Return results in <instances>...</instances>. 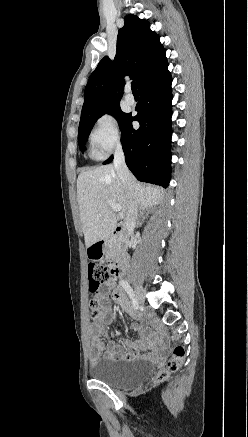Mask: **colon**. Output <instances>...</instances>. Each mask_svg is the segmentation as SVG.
<instances>
[{
  "label": "colon",
  "instance_id": "1",
  "mask_svg": "<svg viewBox=\"0 0 248 437\" xmlns=\"http://www.w3.org/2000/svg\"><path fill=\"white\" fill-rule=\"evenodd\" d=\"M112 275V270L106 265L96 263L94 261L88 264V282L91 292L98 291L99 285L106 283ZM91 307L101 310L100 304L92 300ZM184 357V349L181 346L175 345L172 350V355L167 362L166 368L162 369L154 378V383L163 382L172 372L179 369Z\"/></svg>",
  "mask_w": 248,
  "mask_h": 437
}]
</instances>
